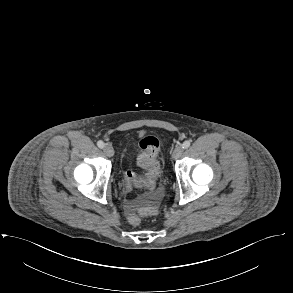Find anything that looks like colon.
Here are the masks:
<instances>
[{
  "label": "colon",
  "instance_id": "1",
  "mask_svg": "<svg viewBox=\"0 0 293 293\" xmlns=\"http://www.w3.org/2000/svg\"><path fill=\"white\" fill-rule=\"evenodd\" d=\"M140 145L143 152L138 158V163L140 166L147 169V173L143 179H139L132 172H127L126 181L130 186L137 182H141L147 187L152 188L159 175V163L157 157L160 150V141L155 136L145 135L141 138ZM128 221L132 225H138L141 222L140 215L132 213L128 216Z\"/></svg>",
  "mask_w": 293,
  "mask_h": 293
}]
</instances>
